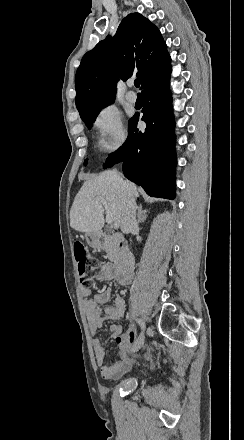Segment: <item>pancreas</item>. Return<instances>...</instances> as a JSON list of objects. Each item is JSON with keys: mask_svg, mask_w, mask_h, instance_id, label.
Instances as JSON below:
<instances>
[{"mask_svg": "<svg viewBox=\"0 0 244 440\" xmlns=\"http://www.w3.org/2000/svg\"><path fill=\"white\" fill-rule=\"evenodd\" d=\"M105 252L110 262H118L120 258V242L116 240L114 236H110L107 242H105Z\"/></svg>", "mask_w": 244, "mask_h": 440, "instance_id": "obj_1", "label": "pancreas"}]
</instances>
